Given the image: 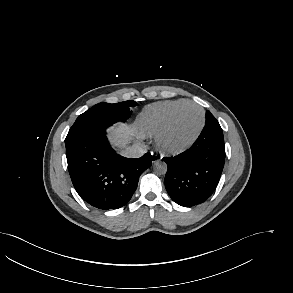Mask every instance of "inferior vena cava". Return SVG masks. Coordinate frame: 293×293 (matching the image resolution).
Masks as SVG:
<instances>
[{
  "label": "inferior vena cava",
  "instance_id": "1",
  "mask_svg": "<svg viewBox=\"0 0 293 293\" xmlns=\"http://www.w3.org/2000/svg\"><path fill=\"white\" fill-rule=\"evenodd\" d=\"M146 153V149L144 145L141 143L137 142L134 143L133 145L127 147L122 151V155L127 157V158H139L143 156Z\"/></svg>",
  "mask_w": 293,
  "mask_h": 293
}]
</instances>
